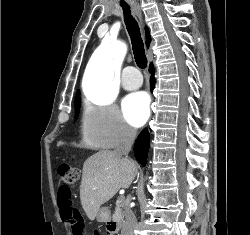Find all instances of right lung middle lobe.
<instances>
[{"instance_id": "obj_1", "label": "right lung middle lobe", "mask_w": 250, "mask_h": 235, "mask_svg": "<svg viewBox=\"0 0 250 235\" xmlns=\"http://www.w3.org/2000/svg\"><path fill=\"white\" fill-rule=\"evenodd\" d=\"M79 109H80V94H77L76 100H75L76 117L78 116Z\"/></svg>"}]
</instances>
